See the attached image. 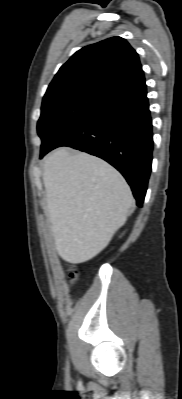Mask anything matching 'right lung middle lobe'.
<instances>
[{
    "instance_id": "right-lung-middle-lobe-1",
    "label": "right lung middle lobe",
    "mask_w": 182,
    "mask_h": 399,
    "mask_svg": "<svg viewBox=\"0 0 182 399\" xmlns=\"http://www.w3.org/2000/svg\"><path fill=\"white\" fill-rule=\"evenodd\" d=\"M104 101V98L82 93L43 100L37 125L42 140L41 153L51 146L62 130L98 108Z\"/></svg>"
}]
</instances>
